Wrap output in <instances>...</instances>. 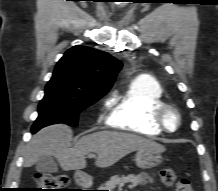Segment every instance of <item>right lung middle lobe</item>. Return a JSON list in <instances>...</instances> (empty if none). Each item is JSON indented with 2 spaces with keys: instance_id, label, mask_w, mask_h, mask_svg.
<instances>
[{
  "instance_id": "1",
  "label": "right lung middle lobe",
  "mask_w": 218,
  "mask_h": 191,
  "mask_svg": "<svg viewBox=\"0 0 218 191\" xmlns=\"http://www.w3.org/2000/svg\"><path fill=\"white\" fill-rule=\"evenodd\" d=\"M105 94L81 92L52 76L45 87V96L39 103V115L32 126V132L36 133L39 129L55 123L77 126L79 113Z\"/></svg>"
}]
</instances>
